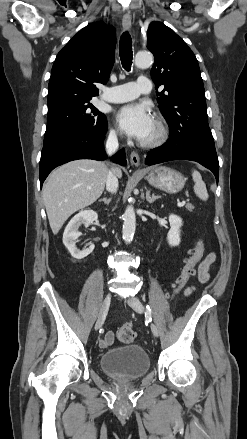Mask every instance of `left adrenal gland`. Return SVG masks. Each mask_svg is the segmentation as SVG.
<instances>
[{
  "label": "left adrenal gland",
  "instance_id": "obj_1",
  "mask_svg": "<svg viewBox=\"0 0 247 439\" xmlns=\"http://www.w3.org/2000/svg\"><path fill=\"white\" fill-rule=\"evenodd\" d=\"M160 196H156L155 194H152V196H150V190L146 189V200L149 203H153L156 199H159Z\"/></svg>",
  "mask_w": 247,
  "mask_h": 439
}]
</instances>
